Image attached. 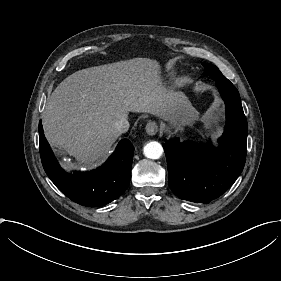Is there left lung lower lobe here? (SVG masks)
<instances>
[{
	"instance_id": "left-lung-lower-lobe-1",
	"label": "left lung lower lobe",
	"mask_w": 281,
	"mask_h": 281,
	"mask_svg": "<svg viewBox=\"0 0 281 281\" xmlns=\"http://www.w3.org/2000/svg\"><path fill=\"white\" fill-rule=\"evenodd\" d=\"M226 105V127L216 148L212 142L163 144L168 182L180 199L209 203L221 196L241 174L246 159L248 125L236 87L226 78L215 80Z\"/></svg>"
}]
</instances>
